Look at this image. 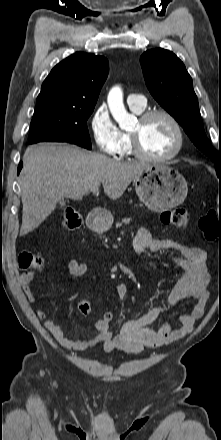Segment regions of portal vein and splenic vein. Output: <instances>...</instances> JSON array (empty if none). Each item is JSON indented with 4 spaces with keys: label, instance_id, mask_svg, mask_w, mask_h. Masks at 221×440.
Wrapping results in <instances>:
<instances>
[{
    "label": "portal vein and splenic vein",
    "instance_id": "1",
    "mask_svg": "<svg viewBox=\"0 0 221 440\" xmlns=\"http://www.w3.org/2000/svg\"><path fill=\"white\" fill-rule=\"evenodd\" d=\"M91 191H92L93 193H97V192L99 191V189H98V187H96V188H93Z\"/></svg>",
    "mask_w": 221,
    "mask_h": 440
}]
</instances>
